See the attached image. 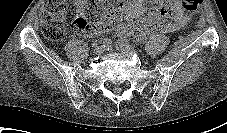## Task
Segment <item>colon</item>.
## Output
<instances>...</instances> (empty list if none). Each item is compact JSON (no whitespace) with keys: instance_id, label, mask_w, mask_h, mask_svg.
<instances>
[{"instance_id":"5ec220e1","label":"colon","mask_w":227,"mask_h":133,"mask_svg":"<svg viewBox=\"0 0 227 133\" xmlns=\"http://www.w3.org/2000/svg\"><path fill=\"white\" fill-rule=\"evenodd\" d=\"M203 0H180L186 14L197 11ZM117 14L107 0H49L40 12L41 30L50 41H61L68 28L75 31L106 27Z\"/></svg>"}]
</instances>
